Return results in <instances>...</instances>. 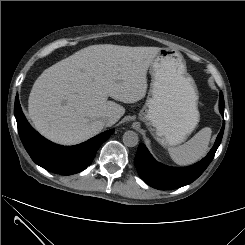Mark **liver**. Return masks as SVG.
Here are the masks:
<instances>
[{"instance_id": "obj_1", "label": "liver", "mask_w": 245, "mask_h": 245, "mask_svg": "<svg viewBox=\"0 0 245 245\" xmlns=\"http://www.w3.org/2000/svg\"><path fill=\"white\" fill-rule=\"evenodd\" d=\"M160 49L91 45L45 69L28 99L36 130L53 142L75 145L113 125L125 108L108 97L124 103L144 98L147 70Z\"/></svg>"}]
</instances>
